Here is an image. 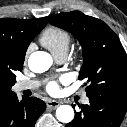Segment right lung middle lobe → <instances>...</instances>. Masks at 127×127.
I'll list each match as a JSON object with an SVG mask.
<instances>
[{"instance_id": "obj_1", "label": "right lung middle lobe", "mask_w": 127, "mask_h": 127, "mask_svg": "<svg viewBox=\"0 0 127 127\" xmlns=\"http://www.w3.org/2000/svg\"><path fill=\"white\" fill-rule=\"evenodd\" d=\"M15 77H16V76L13 77V82H15Z\"/></svg>"}]
</instances>
